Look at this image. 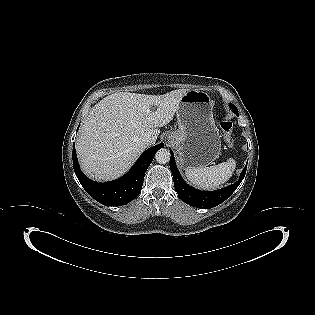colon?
<instances>
[{"label": "colon", "instance_id": "1", "mask_svg": "<svg viewBox=\"0 0 315 315\" xmlns=\"http://www.w3.org/2000/svg\"><path fill=\"white\" fill-rule=\"evenodd\" d=\"M218 125L223 132L224 140L228 146H233V124L230 120L226 119L223 116L218 117Z\"/></svg>", "mask_w": 315, "mask_h": 315}]
</instances>
